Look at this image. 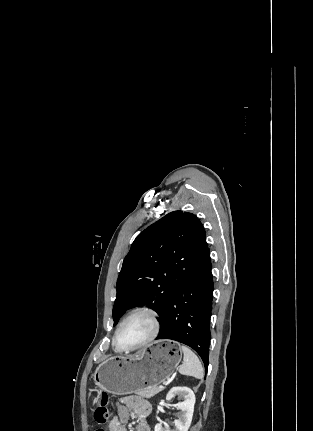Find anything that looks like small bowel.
Instances as JSON below:
<instances>
[{"label": "small bowel", "instance_id": "1", "mask_svg": "<svg viewBox=\"0 0 313 431\" xmlns=\"http://www.w3.org/2000/svg\"><path fill=\"white\" fill-rule=\"evenodd\" d=\"M130 410L139 419L136 431H150L148 417L151 412V405L149 402L134 396L125 397L116 405V414L110 421L109 431H128L125 425L130 416Z\"/></svg>", "mask_w": 313, "mask_h": 431}]
</instances>
